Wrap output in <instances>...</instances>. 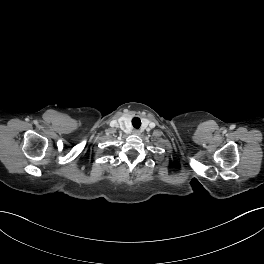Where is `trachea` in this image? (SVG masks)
I'll list each match as a JSON object with an SVG mask.
<instances>
[{
  "label": "trachea",
  "instance_id": "3493384b",
  "mask_svg": "<svg viewBox=\"0 0 264 264\" xmlns=\"http://www.w3.org/2000/svg\"><path fill=\"white\" fill-rule=\"evenodd\" d=\"M132 125L134 128L138 129L141 126V120L138 117L132 119Z\"/></svg>",
  "mask_w": 264,
  "mask_h": 264
}]
</instances>
